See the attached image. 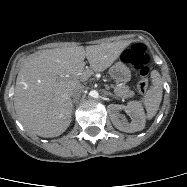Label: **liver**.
Returning <instances> with one entry per match:
<instances>
[{"instance_id": "6515ba94", "label": "liver", "mask_w": 187, "mask_h": 187, "mask_svg": "<svg viewBox=\"0 0 187 187\" xmlns=\"http://www.w3.org/2000/svg\"><path fill=\"white\" fill-rule=\"evenodd\" d=\"M130 41L70 46L30 55L16 80L14 106L23 126L41 137H57L69 127L71 91L94 72H103L121 55ZM87 58L90 69H85ZM80 75L60 78V75Z\"/></svg>"}]
</instances>
